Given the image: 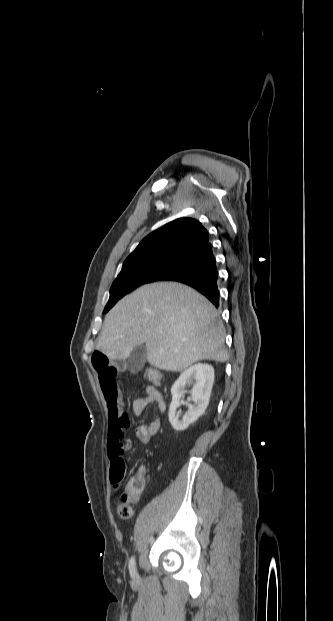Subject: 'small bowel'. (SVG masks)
Returning <instances> with one entry per match:
<instances>
[{
    "instance_id": "c3829d8e",
    "label": "small bowel",
    "mask_w": 333,
    "mask_h": 621,
    "mask_svg": "<svg viewBox=\"0 0 333 621\" xmlns=\"http://www.w3.org/2000/svg\"><path fill=\"white\" fill-rule=\"evenodd\" d=\"M91 360L97 372L100 388L108 409V456L110 465L112 466L117 462L125 463L124 453L129 447L130 442L129 440H124V433L130 426V422L123 409L121 394L116 380L122 364L110 359L101 351H95L92 354ZM142 389L146 395L133 401L134 414L137 416L141 415L146 406L152 402H156L159 411L163 413L166 409V404L162 393L149 383H144ZM160 428L161 420L156 418L149 425L137 426L135 428V436L141 443H148L151 437L159 432Z\"/></svg>"
}]
</instances>
